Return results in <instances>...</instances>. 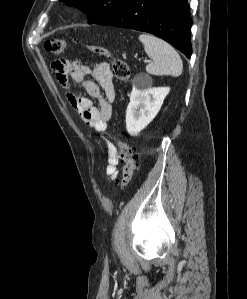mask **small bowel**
Wrapping results in <instances>:
<instances>
[{"mask_svg":"<svg viewBox=\"0 0 247 299\" xmlns=\"http://www.w3.org/2000/svg\"><path fill=\"white\" fill-rule=\"evenodd\" d=\"M58 82L67 89L69 104L82 117L84 122L100 134H105L107 124L112 117V104L116 91L110 65L107 62H94L91 66L79 60L59 59L52 64ZM91 75L94 81L86 79ZM81 85L89 97L98 99L95 106L89 97L83 96L73 90L69 79ZM119 157L115 146L107 142L106 175L110 180L117 177Z\"/></svg>","mask_w":247,"mask_h":299,"instance_id":"1","label":"small bowel"}]
</instances>
